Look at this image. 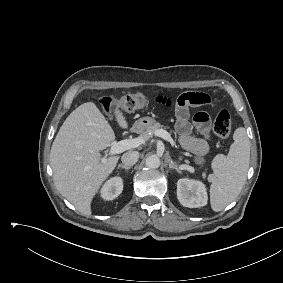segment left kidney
Returning <instances> with one entry per match:
<instances>
[{
	"label": "left kidney",
	"mask_w": 283,
	"mask_h": 283,
	"mask_svg": "<svg viewBox=\"0 0 283 283\" xmlns=\"http://www.w3.org/2000/svg\"><path fill=\"white\" fill-rule=\"evenodd\" d=\"M177 198L188 208H198L207 204L208 196L205 185L198 180L179 179L177 182Z\"/></svg>",
	"instance_id": "left-kidney-1"
}]
</instances>
